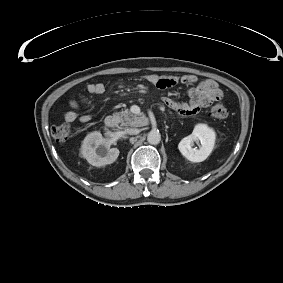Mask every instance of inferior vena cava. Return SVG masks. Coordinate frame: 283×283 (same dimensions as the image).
Here are the masks:
<instances>
[{
	"mask_svg": "<svg viewBox=\"0 0 283 283\" xmlns=\"http://www.w3.org/2000/svg\"><path fill=\"white\" fill-rule=\"evenodd\" d=\"M125 132L129 135H136L138 134L140 131L137 128H127L125 129Z\"/></svg>",
	"mask_w": 283,
	"mask_h": 283,
	"instance_id": "inferior-vena-cava-1",
	"label": "inferior vena cava"
}]
</instances>
